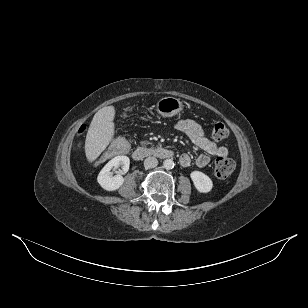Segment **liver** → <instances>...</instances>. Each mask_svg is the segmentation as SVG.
I'll use <instances>...</instances> for the list:
<instances>
[{"label": "liver", "mask_w": 308, "mask_h": 308, "mask_svg": "<svg viewBox=\"0 0 308 308\" xmlns=\"http://www.w3.org/2000/svg\"><path fill=\"white\" fill-rule=\"evenodd\" d=\"M115 107L100 109L93 117L85 140V154L93 162L106 149L114 137Z\"/></svg>", "instance_id": "liver-1"}]
</instances>
